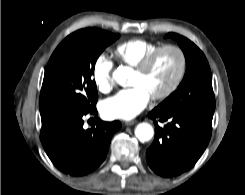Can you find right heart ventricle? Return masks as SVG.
Here are the masks:
<instances>
[{"label":"right heart ventricle","mask_w":245,"mask_h":195,"mask_svg":"<svg viewBox=\"0 0 245 195\" xmlns=\"http://www.w3.org/2000/svg\"><path fill=\"white\" fill-rule=\"evenodd\" d=\"M160 47L144 39H132L116 46L114 54L124 65L136 67L146 56Z\"/></svg>","instance_id":"e07e8e85"}]
</instances>
